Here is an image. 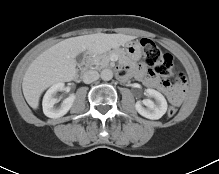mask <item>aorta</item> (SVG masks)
Wrapping results in <instances>:
<instances>
[{"label":"aorta","instance_id":"762f6f07","mask_svg":"<svg viewBox=\"0 0 219 174\" xmlns=\"http://www.w3.org/2000/svg\"><path fill=\"white\" fill-rule=\"evenodd\" d=\"M100 76L102 80L109 81L113 78V72L110 69H103Z\"/></svg>","mask_w":219,"mask_h":174}]
</instances>
